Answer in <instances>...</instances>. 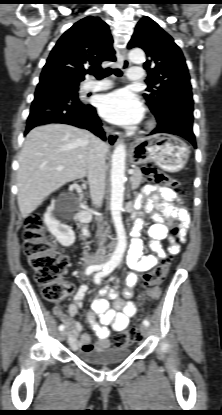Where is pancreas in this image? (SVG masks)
Masks as SVG:
<instances>
[{
	"label": "pancreas",
	"instance_id": "cf45deb5",
	"mask_svg": "<svg viewBox=\"0 0 222 415\" xmlns=\"http://www.w3.org/2000/svg\"><path fill=\"white\" fill-rule=\"evenodd\" d=\"M133 170L134 172L130 177V182H131V188L135 190L140 186L143 180V174L139 168H134Z\"/></svg>",
	"mask_w": 222,
	"mask_h": 415
}]
</instances>
